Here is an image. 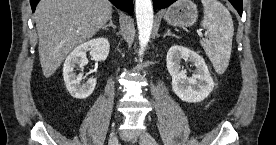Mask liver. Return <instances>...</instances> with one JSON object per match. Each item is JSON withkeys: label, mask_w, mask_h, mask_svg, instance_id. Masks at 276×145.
<instances>
[{"label": "liver", "mask_w": 276, "mask_h": 145, "mask_svg": "<svg viewBox=\"0 0 276 145\" xmlns=\"http://www.w3.org/2000/svg\"><path fill=\"white\" fill-rule=\"evenodd\" d=\"M111 14L108 0H41L34 16L44 76L51 77L76 46L105 26Z\"/></svg>", "instance_id": "1"}]
</instances>
